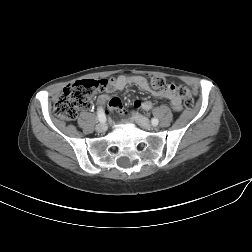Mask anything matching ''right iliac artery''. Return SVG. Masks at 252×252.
I'll use <instances>...</instances> for the list:
<instances>
[{
	"instance_id": "right-iliac-artery-1",
	"label": "right iliac artery",
	"mask_w": 252,
	"mask_h": 252,
	"mask_svg": "<svg viewBox=\"0 0 252 252\" xmlns=\"http://www.w3.org/2000/svg\"><path fill=\"white\" fill-rule=\"evenodd\" d=\"M97 114L99 116V119L101 118L100 124L104 125L106 123V117H105V113H104L103 109L99 108Z\"/></svg>"
}]
</instances>
